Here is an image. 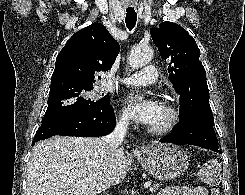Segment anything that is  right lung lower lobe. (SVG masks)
Returning <instances> with one entry per match:
<instances>
[{
    "instance_id": "1",
    "label": "right lung lower lobe",
    "mask_w": 245,
    "mask_h": 195,
    "mask_svg": "<svg viewBox=\"0 0 245 195\" xmlns=\"http://www.w3.org/2000/svg\"><path fill=\"white\" fill-rule=\"evenodd\" d=\"M116 120L110 103H99L91 109L68 113L42 123L37 130L32 146L54 135L105 136L115 127Z\"/></svg>"
}]
</instances>
